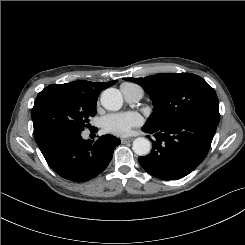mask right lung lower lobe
Here are the masks:
<instances>
[{
  "label": "right lung lower lobe",
  "instance_id": "right-lung-lower-lobe-1",
  "mask_svg": "<svg viewBox=\"0 0 245 245\" xmlns=\"http://www.w3.org/2000/svg\"><path fill=\"white\" fill-rule=\"evenodd\" d=\"M120 139L107 134L95 143L81 132H57L38 144L49 166L61 177L84 182L99 175L112 159Z\"/></svg>",
  "mask_w": 245,
  "mask_h": 245
}]
</instances>
